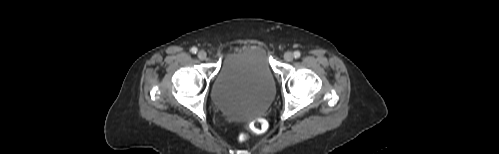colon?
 <instances>
[{
    "mask_svg": "<svg viewBox=\"0 0 499 154\" xmlns=\"http://www.w3.org/2000/svg\"><path fill=\"white\" fill-rule=\"evenodd\" d=\"M249 129L254 133H262L267 129V123L263 119H256L250 123ZM247 138L248 135L246 133H242L239 136V141L244 142L245 140H247Z\"/></svg>",
    "mask_w": 499,
    "mask_h": 154,
    "instance_id": "5ec220e1",
    "label": "colon"
}]
</instances>
